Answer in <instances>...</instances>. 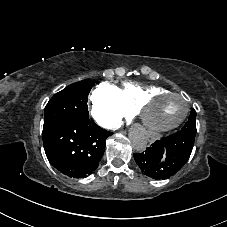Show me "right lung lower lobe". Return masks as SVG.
<instances>
[{"label": "right lung lower lobe", "mask_w": 227, "mask_h": 227, "mask_svg": "<svg viewBox=\"0 0 227 227\" xmlns=\"http://www.w3.org/2000/svg\"><path fill=\"white\" fill-rule=\"evenodd\" d=\"M110 135L112 132L100 128L92 119L79 118L43 132V145L54 168L69 177L82 178L98 167Z\"/></svg>", "instance_id": "obj_1"}]
</instances>
